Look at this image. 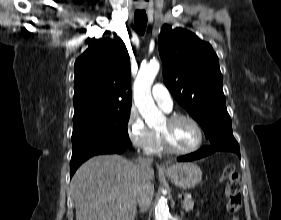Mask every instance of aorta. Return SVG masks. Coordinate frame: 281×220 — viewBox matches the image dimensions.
<instances>
[{
    "label": "aorta",
    "mask_w": 281,
    "mask_h": 220,
    "mask_svg": "<svg viewBox=\"0 0 281 220\" xmlns=\"http://www.w3.org/2000/svg\"><path fill=\"white\" fill-rule=\"evenodd\" d=\"M159 69V62L151 60L140 68L134 82V102L149 127L157 125L163 119V114L155 105L151 95V86ZM155 220H169L168 205L161 199L155 207Z\"/></svg>",
    "instance_id": "1"
}]
</instances>
